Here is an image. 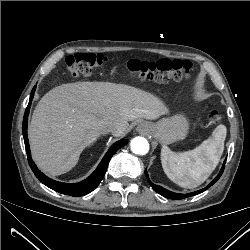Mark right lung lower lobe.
<instances>
[{
    "mask_svg": "<svg viewBox=\"0 0 250 250\" xmlns=\"http://www.w3.org/2000/svg\"><path fill=\"white\" fill-rule=\"evenodd\" d=\"M36 86L33 88L31 94H30V100L29 104L26 108L25 114H24V119H23V136H24V142H25V148H26V153L28 157V162L29 165L34 172L35 176L46 186L49 188L65 195H70L74 197H80L83 195H86L93 191L101 182L103 179L108 163L113 156V154L120 149L121 147L125 146L127 144V140H120L117 141L105 154L103 157L102 161L96 168V170L85 180L79 183H62L55 181L53 179H50L49 177L45 176L35 165L34 161L31 158V153H30V148H29V142L27 138V125H28V115H29V110L31 106V101L34 96Z\"/></svg>",
    "mask_w": 250,
    "mask_h": 250,
    "instance_id": "obj_1",
    "label": "right lung lower lobe"
}]
</instances>
